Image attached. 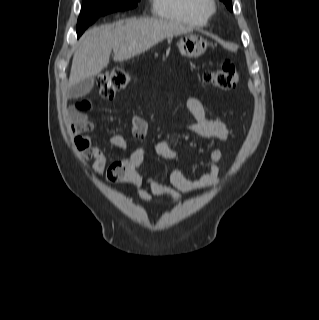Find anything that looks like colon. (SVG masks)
<instances>
[{
  "label": "colon",
  "instance_id": "1",
  "mask_svg": "<svg viewBox=\"0 0 319 320\" xmlns=\"http://www.w3.org/2000/svg\"><path fill=\"white\" fill-rule=\"evenodd\" d=\"M206 84L222 90H230L237 86L239 75L232 59L222 60L215 70H208L203 75ZM131 82L130 72L123 67H117L106 73L100 81V95L104 99H112L117 92L125 89ZM121 168L119 162L110 167V178L117 181V176H111L113 172Z\"/></svg>",
  "mask_w": 319,
  "mask_h": 320
}]
</instances>
